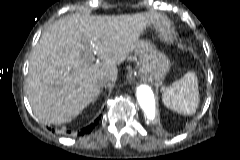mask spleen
Here are the masks:
<instances>
[{
    "mask_svg": "<svg viewBox=\"0 0 240 160\" xmlns=\"http://www.w3.org/2000/svg\"><path fill=\"white\" fill-rule=\"evenodd\" d=\"M163 103L179 113L190 115L196 112L199 103L198 81L194 72H188L174 82L163 94Z\"/></svg>",
    "mask_w": 240,
    "mask_h": 160,
    "instance_id": "obj_1",
    "label": "spleen"
}]
</instances>
